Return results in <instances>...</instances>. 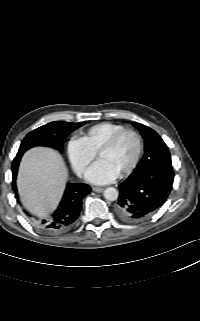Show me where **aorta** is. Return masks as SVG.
<instances>
[{"label":"aorta","instance_id":"aorta-1","mask_svg":"<svg viewBox=\"0 0 200 321\" xmlns=\"http://www.w3.org/2000/svg\"><path fill=\"white\" fill-rule=\"evenodd\" d=\"M118 191L117 189H115L114 187H108L107 189H105L104 191V197L105 199H107L108 201H115L118 198Z\"/></svg>","mask_w":200,"mask_h":321}]
</instances>
